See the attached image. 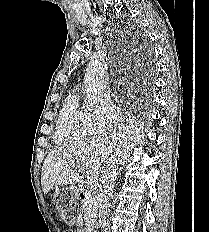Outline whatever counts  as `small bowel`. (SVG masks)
<instances>
[{
    "mask_svg": "<svg viewBox=\"0 0 209 232\" xmlns=\"http://www.w3.org/2000/svg\"><path fill=\"white\" fill-rule=\"evenodd\" d=\"M74 226H75L76 232H84L81 225H80V223H79V221H75Z\"/></svg>",
    "mask_w": 209,
    "mask_h": 232,
    "instance_id": "small-bowel-1",
    "label": "small bowel"
}]
</instances>
